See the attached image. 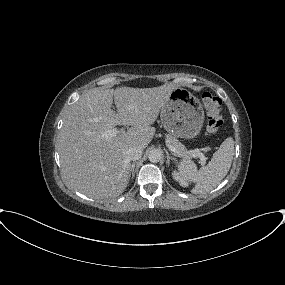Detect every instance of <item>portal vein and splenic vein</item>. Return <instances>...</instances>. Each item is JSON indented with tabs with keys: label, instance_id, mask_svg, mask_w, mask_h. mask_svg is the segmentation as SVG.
Listing matches in <instances>:
<instances>
[{
	"label": "portal vein and splenic vein",
	"instance_id": "18ae733b",
	"mask_svg": "<svg viewBox=\"0 0 285 285\" xmlns=\"http://www.w3.org/2000/svg\"><path fill=\"white\" fill-rule=\"evenodd\" d=\"M119 133H120V131L118 129L114 128V129H111V130L104 132L102 136L106 139H111L113 137H116ZM168 149L171 152H174V153L176 152V149L171 145H168ZM189 152L192 153L193 156L199 157L201 160V163L203 165L206 163V157L203 155L202 152H200L199 149H194V150H191Z\"/></svg>",
	"mask_w": 285,
	"mask_h": 285
}]
</instances>
